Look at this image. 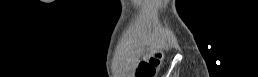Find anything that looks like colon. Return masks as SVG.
I'll return each instance as SVG.
<instances>
[{"instance_id": "colon-1", "label": "colon", "mask_w": 258, "mask_h": 77, "mask_svg": "<svg viewBox=\"0 0 258 77\" xmlns=\"http://www.w3.org/2000/svg\"><path fill=\"white\" fill-rule=\"evenodd\" d=\"M163 55L154 52L141 62L137 68V77H154L162 64Z\"/></svg>"}]
</instances>
